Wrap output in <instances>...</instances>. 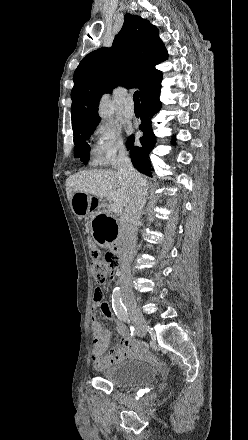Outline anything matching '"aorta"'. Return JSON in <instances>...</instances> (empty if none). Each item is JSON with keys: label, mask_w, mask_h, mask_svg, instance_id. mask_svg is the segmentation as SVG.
<instances>
[{"label": "aorta", "mask_w": 248, "mask_h": 440, "mask_svg": "<svg viewBox=\"0 0 248 440\" xmlns=\"http://www.w3.org/2000/svg\"><path fill=\"white\" fill-rule=\"evenodd\" d=\"M99 114L102 116L103 119L109 120L111 118V108L106 98L102 100V103L100 105Z\"/></svg>", "instance_id": "obj_1"}]
</instances>
